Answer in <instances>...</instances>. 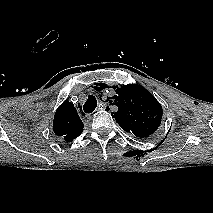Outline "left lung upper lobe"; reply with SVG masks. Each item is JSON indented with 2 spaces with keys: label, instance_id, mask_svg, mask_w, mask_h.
Returning <instances> with one entry per match:
<instances>
[{
  "label": "left lung upper lobe",
  "instance_id": "obj_1",
  "mask_svg": "<svg viewBox=\"0 0 213 213\" xmlns=\"http://www.w3.org/2000/svg\"><path fill=\"white\" fill-rule=\"evenodd\" d=\"M116 95L109 102L118 107L112 114L126 132L146 138L159 127L163 115L162 106L144 87L138 84L115 86ZM113 102V103H112Z\"/></svg>",
  "mask_w": 213,
  "mask_h": 213
}]
</instances>
